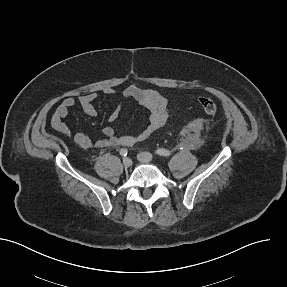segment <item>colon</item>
Returning a JSON list of instances; mask_svg holds the SVG:
<instances>
[{
	"label": "colon",
	"mask_w": 287,
	"mask_h": 287,
	"mask_svg": "<svg viewBox=\"0 0 287 287\" xmlns=\"http://www.w3.org/2000/svg\"><path fill=\"white\" fill-rule=\"evenodd\" d=\"M199 104L203 112L207 115H214L217 112V106L214 101L207 97H201L199 99Z\"/></svg>",
	"instance_id": "obj_1"
}]
</instances>
